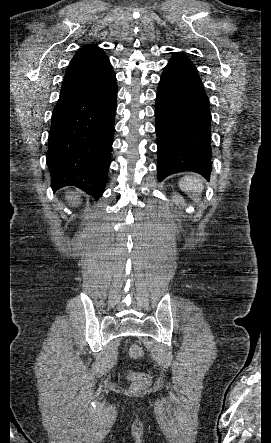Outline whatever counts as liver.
Here are the masks:
<instances>
[{
  "label": "liver",
  "instance_id": "6515ba94",
  "mask_svg": "<svg viewBox=\"0 0 271 443\" xmlns=\"http://www.w3.org/2000/svg\"><path fill=\"white\" fill-rule=\"evenodd\" d=\"M66 194H71V196H66L69 200H76L77 196H73L74 192H66Z\"/></svg>",
  "mask_w": 271,
  "mask_h": 443
}]
</instances>
